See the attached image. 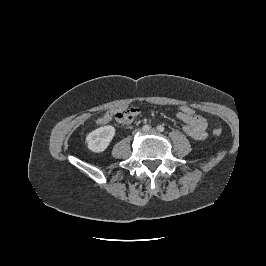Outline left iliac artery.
Here are the masks:
<instances>
[{
	"label": "left iliac artery",
	"instance_id": "1",
	"mask_svg": "<svg viewBox=\"0 0 266 266\" xmlns=\"http://www.w3.org/2000/svg\"><path fill=\"white\" fill-rule=\"evenodd\" d=\"M157 130L159 132H163L165 130V128L162 125H159V126H157Z\"/></svg>",
	"mask_w": 266,
	"mask_h": 266
}]
</instances>
